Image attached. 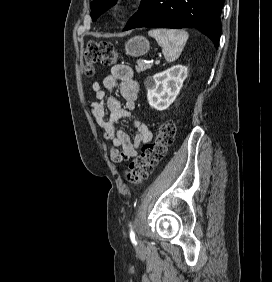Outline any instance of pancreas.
Masks as SVG:
<instances>
[{"label":"pancreas","mask_w":272,"mask_h":282,"mask_svg":"<svg viewBox=\"0 0 272 282\" xmlns=\"http://www.w3.org/2000/svg\"><path fill=\"white\" fill-rule=\"evenodd\" d=\"M151 66H152L151 64H146L143 61L139 60V61H137L136 71L138 73H141V72H144V71L150 69Z\"/></svg>","instance_id":"1"}]
</instances>
